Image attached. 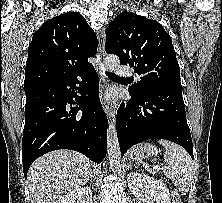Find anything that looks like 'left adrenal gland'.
I'll return each mask as SVG.
<instances>
[{"instance_id": "left-adrenal-gland-1", "label": "left adrenal gland", "mask_w": 222, "mask_h": 203, "mask_svg": "<svg viewBox=\"0 0 222 203\" xmlns=\"http://www.w3.org/2000/svg\"><path fill=\"white\" fill-rule=\"evenodd\" d=\"M132 166H136V165L133 164V163L131 162V160H129V162H128V169H129L130 167H132Z\"/></svg>"}]
</instances>
